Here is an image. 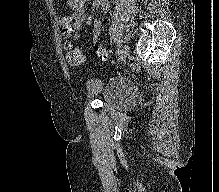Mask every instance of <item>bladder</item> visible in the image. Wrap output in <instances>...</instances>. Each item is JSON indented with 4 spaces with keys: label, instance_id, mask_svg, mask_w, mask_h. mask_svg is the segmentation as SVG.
Returning <instances> with one entry per match:
<instances>
[{
    "label": "bladder",
    "instance_id": "obj_1",
    "mask_svg": "<svg viewBox=\"0 0 219 192\" xmlns=\"http://www.w3.org/2000/svg\"><path fill=\"white\" fill-rule=\"evenodd\" d=\"M135 96V86L129 81H112L101 88V101L105 107L111 109L126 107Z\"/></svg>",
    "mask_w": 219,
    "mask_h": 192
}]
</instances>
